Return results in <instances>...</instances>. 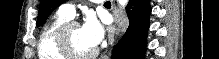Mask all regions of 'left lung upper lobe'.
Instances as JSON below:
<instances>
[{"label":"left lung upper lobe","instance_id":"1","mask_svg":"<svg viewBox=\"0 0 219 59\" xmlns=\"http://www.w3.org/2000/svg\"><path fill=\"white\" fill-rule=\"evenodd\" d=\"M65 1L66 0H41L37 17V26H40L53 10Z\"/></svg>","mask_w":219,"mask_h":59}]
</instances>
